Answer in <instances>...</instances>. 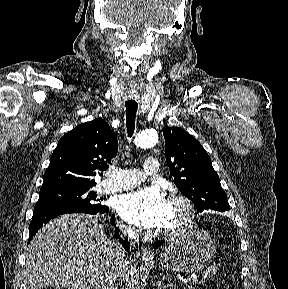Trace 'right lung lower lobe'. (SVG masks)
Returning <instances> with one entry per match:
<instances>
[{
  "label": "right lung lower lobe",
  "instance_id": "obj_1",
  "mask_svg": "<svg viewBox=\"0 0 288 289\" xmlns=\"http://www.w3.org/2000/svg\"><path fill=\"white\" fill-rule=\"evenodd\" d=\"M108 212V207L105 206L104 208L92 211V212H83L79 210H73V209H65V208H47V209H40L35 210L33 212L32 221L30 222V231H29V240L35 235V233L43 226V224L47 223L52 218L66 213H88V214H97V215H103ZM111 224L115 226V221L112 216L111 218ZM114 237L117 239H120L119 234H115ZM125 248L126 251L129 250L130 244L128 241H120Z\"/></svg>",
  "mask_w": 288,
  "mask_h": 289
}]
</instances>
